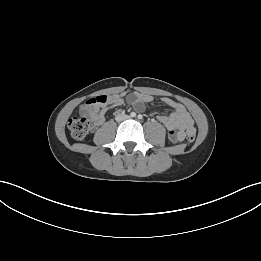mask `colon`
Returning <instances> with one entry per match:
<instances>
[{
    "label": "colon",
    "mask_w": 261,
    "mask_h": 261,
    "mask_svg": "<svg viewBox=\"0 0 261 261\" xmlns=\"http://www.w3.org/2000/svg\"><path fill=\"white\" fill-rule=\"evenodd\" d=\"M107 99V96H98L89 100L90 103H103ZM68 128L70 134L75 140H82L90 129V120L85 114L72 116L68 121ZM194 133H190L187 136L186 144L190 145L194 141Z\"/></svg>",
    "instance_id": "obj_1"
}]
</instances>
